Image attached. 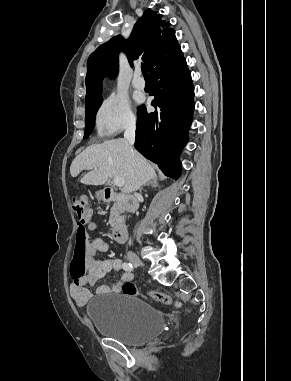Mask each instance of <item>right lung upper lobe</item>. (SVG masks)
Listing matches in <instances>:
<instances>
[{
	"label": "right lung upper lobe",
	"mask_w": 291,
	"mask_h": 381,
	"mask_svg": "<svg viewBox=\"0 0 291 381\" xmlns=\"http://www.w3.org/2000/svg\"><path fill=\"white\" fill-rule=\"evenodd\" d=\"M121 49L126 51L131 66L134 60L142 59L150 73L181 50L170 23L165 22L162 15L146 10L128 40L115 36L89 56L85 104L101 97L102 80L116 74Z\"/></svg>",
	"instance_id": "right-lung-upper-lobe-1"
}]
</instances>
